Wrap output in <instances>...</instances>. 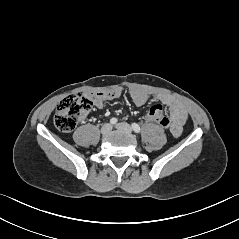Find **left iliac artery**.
I'll list each match as a JSON object with an SVG mask.
<instances>
[{
  "label": "left iliac artery",
  "instance_id": "left-iliac-artery-1",
  "mask_svg": "<svg viewBox=\"0 0 239 239\" xmlns=\"http://www.w3.org/2000/svg\"><path fill=\"white\" fill-rule=\"evenodd\" d=\"M132 129L134 130V132L136 133H140V126L136 123H132Z\"/></svg>",
  "mask_w": 239,
  "mask_h": 239
}]
</instances>
